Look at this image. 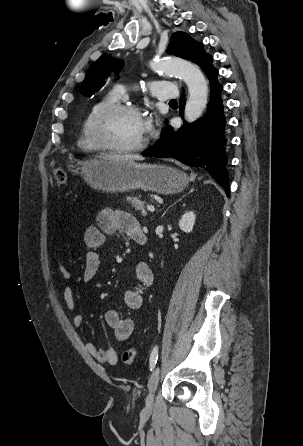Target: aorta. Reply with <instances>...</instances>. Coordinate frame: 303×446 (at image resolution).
<instances>
[{
    "mask_svg": "<svg viewBox=\"0 0 303 446\" xmlns=\"http://www.w3.org/2000/svg\"><path fill=\"white\" fill-rule=\"evenodd\" d=\"M150 65L154 71L178 76L186 83L189 97L185 105L184 117L190 123L197 120L208 100L207 81L200 69L180 59L153 61Z\"/></svg>",
    "mask_w": 303,
    "mask_h": 446,
    "instance_id": "1",
    "label": "aorta"
}]
</instances>
